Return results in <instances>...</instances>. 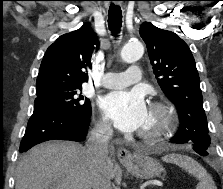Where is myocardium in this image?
I'll return each mask as SVG.
<instances>
[{
	"label": "myocardium",
	"instance_id": "myocardium-1",
	"mask_svg": "<svg viewBox=\"0 0 223 189\" xmlns=\"http://www.w3.org/2000/svg\"><path fill=\"white\" fill-rule=\"evenodd\" d=\"M149 111L155 116V122L142 128L139 135L146 140H153L172 131L177 123L173 106L164 100H154L149 104Z\"/></svg>",
	"mask_w": 223,
	"mask_h": 189
}]
</instances>
